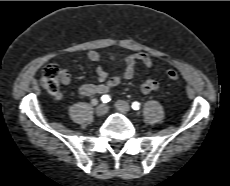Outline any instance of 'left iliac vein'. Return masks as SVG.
<instances>
[{
	"instance_id": "left-iliac-vein-1",
	"label": "left iliac vein",
	"mask_w": 230,
	"mask_h": 186,
	"mask_svg": "<svg viewBox=\"0 0 230 186\" xmlns=\"http://www.w3.org/2000/svg\"><path fill=\"white\" fill-rule=\"evenodd\" d=\"M115 107L118 111L123 112V113H127L130 111V105L123 100H118L115 103Z\"/></svg>"
}]
</instances>
